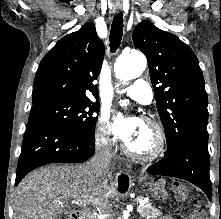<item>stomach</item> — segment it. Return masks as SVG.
<instances>
[{"label":"stomach","instance_id":"stomach-1","mask_svg":"<svg viewBox=\"0 0 221 219\" xmlns=\"http://www.w3.org/2000/svg\"><path fill=\"white\" fill-rule=\"evenodd\" d=\"M175 178H150V182L145 184L147 195L152 199H173V194H167L171 191V186L167 183H175Z\"/></svg>","mask_w":221,"mask_h":219}]
</instances>
